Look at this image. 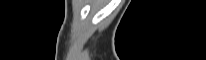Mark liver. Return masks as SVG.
Returning a JSON list of instances; mask_svg holds the SVG:
<instances>
[{
  "label": "liver",
  "instance_id": "1",
  "mask_svg": "<svg viewBox=\"0 0 206 60\" xmlns=\"http://www.w3.org/2000/svg\"><path fill=\"white\" fill-rule=\"evenodd\" d=\"M98 3H99V1H96V2H95V4H98Z\"/></svg>",
  "mask_w": 206,
  "mask_h": 60
}]
</instances>
